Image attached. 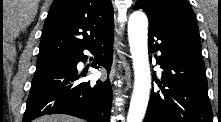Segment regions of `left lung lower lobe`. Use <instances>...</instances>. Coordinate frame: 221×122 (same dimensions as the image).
I'll return each instance as SVG.
<instances>
[{
    "label": "left lung lower lobe",
    "instance_id": "1",
    "mask_svg": "<svg viewBox=\"0 0 221 122\" xmlns=\"http://www.w3.org/2000/svg\"><path fill=\"white\" fill-rule=\"evenodd\" d=\"M148 43L149 53L161 52L156 59L163 72L144 122H213L199 37L149 18Z\"/></svg>",
    "mask_w": 221,
    "mask_h": 122
}]
</instances>
